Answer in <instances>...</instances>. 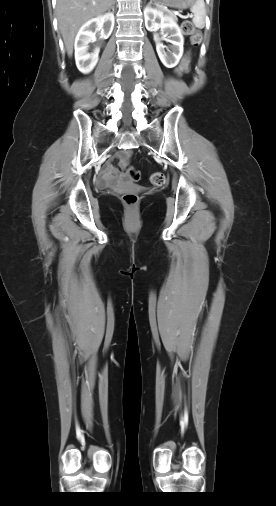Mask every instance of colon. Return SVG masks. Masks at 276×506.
Returning <instances> with one entry per match:
<instances>
[{"mask_svg": "<svg viewBox=\"0 0 276 506\" xmlns=\"http://www.w3.org/2000/svg\"><path fill=\"white\" fill-rule=\"evenodd\" d=\"M183 33L189 37L193 45H198L202 41V34L197 30L190 21H184L182 23ZM128 173L133 181H138L141 178V172L134 168H129ZM150 182L155 186H162L166 182V178L163 173L155 172L150 176ZM122 201L129 208H134L139 201L138 195L132 192H128L122 195Z\"/></svg>", "mask_w": 276, "mask_h": 506, "instance_id": "5ec220e1", "label": "colon"}]
</instances>
